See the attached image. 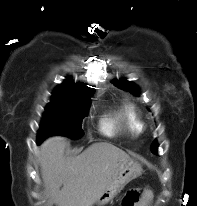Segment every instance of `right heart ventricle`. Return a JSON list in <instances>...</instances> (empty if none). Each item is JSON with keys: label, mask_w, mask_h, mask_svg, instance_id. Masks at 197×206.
I'll list each match as a JSON object with an SVG mask.
<instances>
[{"label": "right heart ventricle", "mask_w": 197, "mask_h": 206, "mask_svg": "<svg viewBox=\"0 0 197 206\" xmlns=\"http://www.w3.org/2000/svg\"><path fill=\"white\" fill-rule=\"evenodd\" d=\"M122 126L133 132H139L142 128L134 106L128 102L121 103L117 109L108 113L102 120V130L106 134H113Z\"/></svg>", "instance_id": "1"}]
</instances>
